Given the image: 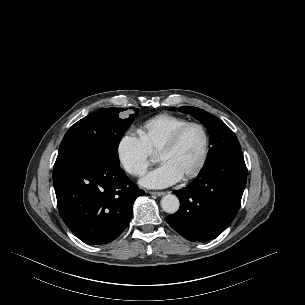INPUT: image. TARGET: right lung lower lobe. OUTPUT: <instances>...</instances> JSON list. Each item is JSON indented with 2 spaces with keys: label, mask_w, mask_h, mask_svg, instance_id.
<instances>
[{
  "label": "right lung lower lobe",
  "mask_w": 305,
  "mask_h": 305,
  "mask_svg": "<svg viewBox=\"0 0 305 305\" xmlns=\"http://www.w3.org/2000/svg\"><path fill=\"white\" fill-rule=\"evenodd\" d=\"M58 211L80 240L107 244L128 226L135 199L144 194L119 166L94 157L55 162Z\"/></svg>",
  "instance_id": "98d812e1"
}]
</instances>
